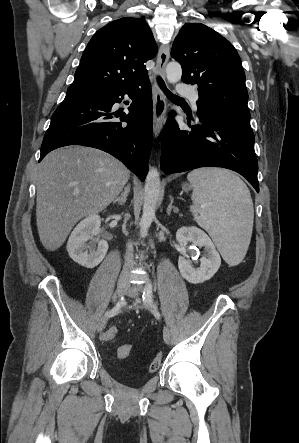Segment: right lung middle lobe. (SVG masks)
Here are the masks:
<instances>
[{
  "mask_svg": "<svg viewBox=\"0 0 299 443\" xmlns=\"http://www.w3.org/2000/svg\"><path fill=\"white\" fill-rule=\"evenodd\" d=\"M102 94V91L86 89V88H73L69 87L66 97H98Z\"/></svg>",
  "mask_w": 299,
  "mask_h": 443,
  "instance_id": "1",
  "label": "right lung middle lobe"
}]
</instances>
